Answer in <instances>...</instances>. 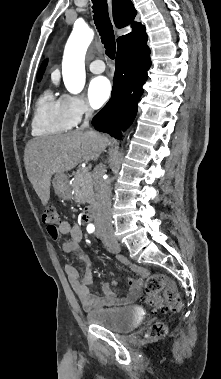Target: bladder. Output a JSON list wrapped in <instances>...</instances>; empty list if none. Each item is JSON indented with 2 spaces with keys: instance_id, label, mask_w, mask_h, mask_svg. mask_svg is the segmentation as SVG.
<instances>
[{
  "instance_id": "obj_1",
  "label": "bladder",
  "mask_w": 221,
  "mask_h": 379,
  "mask_svg": "<svg viewBox=\"0 0 221 379\" xmlns=\"http://www.w3.org/2000/svg\"><path fill=\"white\" fill-rule=\"evenodd\" d=\"M86 319L112 332L127 333L140 324L143 315L134 307H112L91 310L86 314Z\"/></svg>"
}]
</instances>
